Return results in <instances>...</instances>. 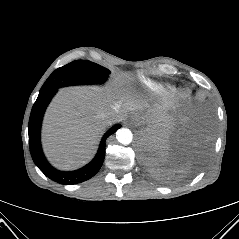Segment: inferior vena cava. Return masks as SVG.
Instances as JSON below:
<instances>
[{
    "mask_svg": "<svg viewBox=\"0 0 239 239\" xmlns=\"http://www.w3.org/2000/svg\"><path fill=\"white\" fill-rule=\"evenodd\" d=\"M101 117L103 118L105 122L111 123L117 119L118 115L114 111H108V112L102 113Z\"/></svg>",
    "mask_w": 239,
    "mask_h": 239,
    "instance_id": "602c4592",
    "label": "inferior vena cava"
}]
</instances>
